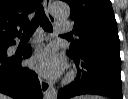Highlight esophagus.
Wrapping results in <instances>:
<instances>
[{"label": "esophagus", "instance_id": "1", "mask_svg": "<svg viewBox=\"0 0 128 99\" xmlns=\"http://www.w3.org/2000/svg\"><path fill=\"white\" fill-rule=\"evenodd\" d=\"M50 7H51V0H44L45 13L51 22H55V18L51 13ZM40 85L44 95H46L51 89L50 83L44 79L40 80Z\"/></svg>", "mask_w": 128, "mask_h": 99}]
</instances>
